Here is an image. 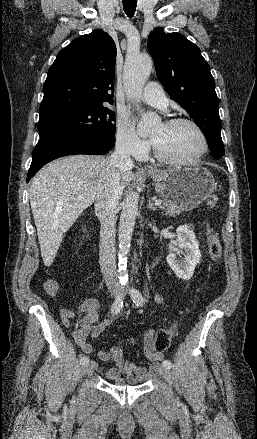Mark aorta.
Masks as SVG:
<instances>
[{"mask_svg": "<svg viewBox=\"0 0 257 439\" xmlns=\"http://www.w3.org/2000/svg\"><path fill=\"white\" fill-rule=\"evenodd\" d=\"M152 70L150 57L141 54H129L126 58L123 73V82L130 99L137 98L143 89L145 82ZM158 117L153 113H143L137 124V132L140 136L150 133ZM139 196L131 192L123 203V209L119 223V251H118V275L121 282H128L127 255L130 251L132 233L135 219L138 214Z\"/></svg>", "mask_w": 257, "mask_h": 439, "instance_id": "762f6f07", "label": "aorta"}]
</instances>
